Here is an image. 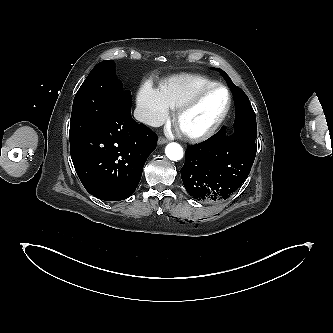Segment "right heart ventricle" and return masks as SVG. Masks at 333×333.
Instances as JSON below:
<instances>
[{"label":"right heart ventricle","mask_w":333,"mask_h":333,"mask_svg":"<svg viewBox=\"0 0 333 333\" xmlns=\"http://www.w3.org/2000/svg\"><path fill=\"white\" fill-rule=\"evenodd\" d=\"M215 83L203 75L180 74L162 82L159 92L168 108L177 110L198 91Z\"/></svg>","instance_id":"1"}]
</instances>
